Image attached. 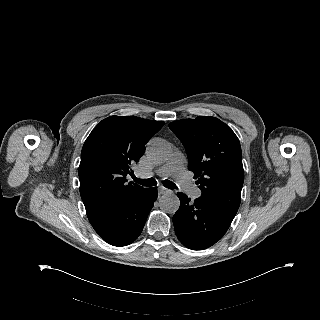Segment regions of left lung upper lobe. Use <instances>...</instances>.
I'll list each match as a JSON object with an SVG mask.
<instances>
[{
  "mask_svg": "<svg viewBox=\"0 0 320 320\" xmlns=\"http://www.w3.org/2000/svg\"><path fill=\"white\" fill-rule=\"evenodd\" d=\"M186 149L201 197L237 213L244 181L240 142L225 123L199 116L169 124Z\"/></svg>",
  "mask_w": 320,
  "mask_h": 320,
  "instance_id": "obj_1",
  "label": "left lung upper lobe"
}]
</instances>
